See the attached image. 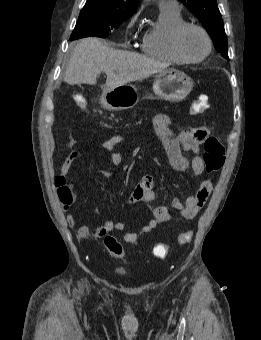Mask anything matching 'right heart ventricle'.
<instances>
[{"label":"right heart ventricle","mask_w":261,"mask_h":340,"mask_svg":"<svg viewBox=\"0 0 261 340\" xmlns=\"http://www.w3.org/2000/svg\"><path fill=\"white\" fill-rule=\"evenodd\" d=\"M184 21L180 10L160 8L157 22L142 37L141 50L146 55L164 62L184 63L171 46L174 29Z\"/></svg>","instance_id":"e07e8e85"}]
</instances>
